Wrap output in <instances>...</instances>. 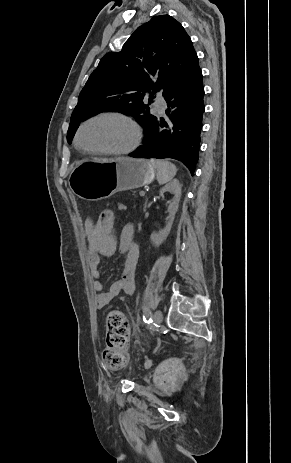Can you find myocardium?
Returning a JSON list of instances; mask_svg holds the SVG:
<instances>
[{
  "instance_id": "obj_1",
  "label": "myocardium",
  "mask_w": 291,
  "mask_h": 463,
  "mask_svg": "<svg viewBox=\"0 0 291 463\" xmlns=\"http://www.w3.org/2000/svg\"><path fill=\"white\" fill-rule=\"evenodd\" d=\"M101 119H119L126 122L132 129L133 137L129 145L123 148H86L80 144V135L82 130L88 124ZM142 139V130L138 122L130 115L121 112V111H109V112H102L90 116L89 118L85 119L83 122L80 123L78 126L75 137L74 143L75 146L86 154H101V155H109V156H121L127 155L132 153L140 144Z\"/></svg>"
}]
</instances>
